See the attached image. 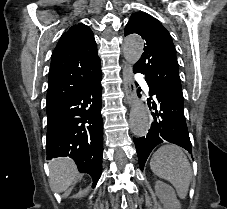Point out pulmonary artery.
I'll return each mask as SVG.
<instances>
[{
    "label": "pulmonary artery",
    "instance_id": "1",
    "mask_svg": "<svg viewBox=\"0 0 227 209\" xmlns=\"http://www.w3.org/2000/svg\"><path fill=\"white\" fill-rule=\"evenodd\" d=\"M133 77H134V78H140V77H141V74H140V73H134V74H133Z\"/></svg>",
    "mask_w": 227,
    "mask_h": 209
}]
</instances>
